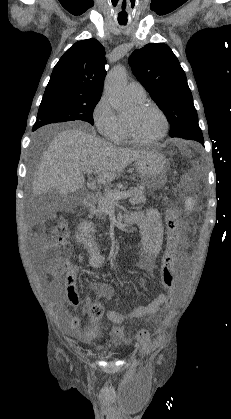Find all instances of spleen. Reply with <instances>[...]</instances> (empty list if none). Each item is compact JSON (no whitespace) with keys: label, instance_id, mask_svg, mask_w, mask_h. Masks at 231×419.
Listing matches in <instances>:
<instances>
[{"label":"spleen","instance_id":"1","mask_svg":"<svg viewBox=\"0 0 231 419\" xmlns=\"http://www.w3.org/2000/svg\"><path fill=\"white\" fill-rule=\"evenodd\" d=\"M193 206H194V200L192 198H187L185 201V208L187 210H192Z\"/></svg>","mask_w":231,"mask_h":419}]
</instances>
